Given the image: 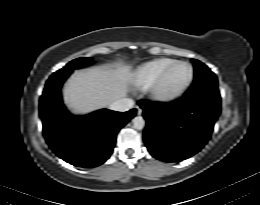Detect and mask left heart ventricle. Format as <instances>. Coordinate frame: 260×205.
Wrapping results in <instances>:
<instances>
[{
    "label": "left heart ventricle",
    "mask_w": 260,
    "mask_h": 205,
    "mask_svg": "<svg viewBox=\"0 0 260 205\" xmlns=\"http://www.w3.org/2000/svg\"><path fill=\"white\" fill-rule=\"evenodd\" d=\"M189 75L190 70L186 65L174 67L163 83V91L173 92L178 90L188 81Z\"/></svg>",
    "instance_id": "1"
}]
</instances>
